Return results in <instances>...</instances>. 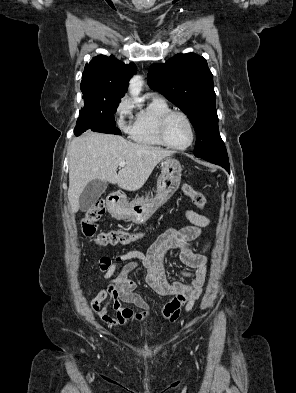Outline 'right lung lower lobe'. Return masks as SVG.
<instances>
[{
    "mask_svg": "<svg viewBox=\"0 0 296 393\" xmlns=\"http://www.w3.org/2000/svg\"><path fill=\"white\" fill-rule=\"evenodd\" d=\"M92 130L95 132H101V133H108V134H116V135H121V131L116 128V127H109L103 124H99L96 122L92 121H87V122H77V125L74 129V134L76 136L81 135L84 131L86 130Z\"/></svg>",
    "mask_w": 296,
    "mask_h": 393,
    "instance_id": "98d812e1",
    "label": "right lung lower lobe"
}]
</instances>
